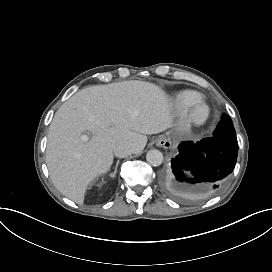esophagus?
I'll return each mask as SVG.
<instances>
[{
	"instance_id": "esophagus-1",
	"label": "esophagus",
	"mask_w": 272,
	"mask_h": 272,
	"mask_svg": "<svg viewBox=\"0 0 272 272\" xmlns=\"http://www.w3.org/2000/svg\"><path fill=\"white\" fill-rule=\"evenodd\" d=\"M156 145L161 148H170L171 141L165 135H160L156 140Z\"/></svg>"
}]
</instances>
